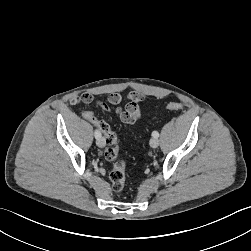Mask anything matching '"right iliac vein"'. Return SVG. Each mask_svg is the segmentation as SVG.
I'll return each instance as SVG.
<instances>
[{
	"instance_id": "1",
	"label": "right iliac vein",
	"mask_w": 251,
	"mask_h": 251,
	"mask_svg": "<svg viewBox=\"0 0 251 251\" xmlns=\"http://www.w3.org/2000/svg\"><path fill=\"white\" fill-rule=\"evenodd\" d=\"M96 144L99 146V147H104L105 146V139L103 137H99L97 138V141H96Z\"/></svg>"
}]
</instances>
